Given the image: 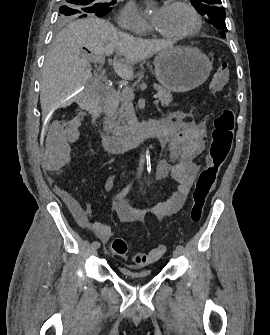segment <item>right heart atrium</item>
Instances as JSON below:
<instances>
[{"label":"right heart atrium","mask_w":270,"mask_h":335,"mask_svg":"<svg viewBox=\"0 0 270 335\" xmlns=\"http://www.w3.org/2000/svg\"><path fill=\"white\" fill-rule=\"evenodd\" d=\"M117 23L118 25H133L134 34L137 35H147L150 32L149 24L142 17L134 2L125 5L117 17Z\"/></svg>","instance_id":"right-heart-atrium-1"}]
</instances>
